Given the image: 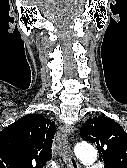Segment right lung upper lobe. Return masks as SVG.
Listing matches in <instances>:
<instances>
[{
    "instance_id": "right-lung-upper-lobe-1",
    "label": "right lung upper lobe",
    "mask_w": 127,
    "mask_h": 168,
    "mask_svg": "<svg viewBox=\"0 0 127 168\" xmlns=\"http://www.w3.org/2000/svg\"><path fill=\"white\" fill-rule=\"evenodd\" d=\"M55 124L28 114L0 132V168H44L52 157Z\"/></svg>"
}]
</instances>
